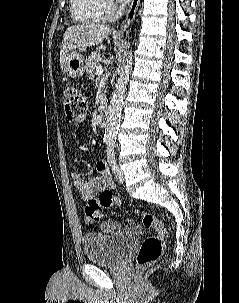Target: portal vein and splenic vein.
Instances as JSON below:
<instances>
[{"mask_svg": "<svg viewBox=\"0 0 239 303\" xmlns=\"http://www.w3.org/2000/svg\"><path fill=\"white\" fill-rule=\"evenodd\" d=\"M96 71H97V74H98V75H101V74L103 73V68H102V66H98Z\"/></svg>", "mask_w": 239, "mask_h": 303, "instance_id": "portal-vein-and-splenic-vein-1", "label": "portal vein and splenic vein"}]
</instances>
